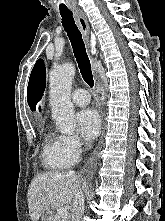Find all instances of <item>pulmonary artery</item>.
<instances>
[{"mask_svg":"<svg viewBox=\"0 0 165 221\" xmlns=\"http://www.w3.org/2000/svg\"><path fill=\"white\" fill-rule=\"evenodd\" d=\"M71 99L78 106H85L90 102V96L85 89H76L73 91Z\"/></svg>","mask_w":165,"mask_h":221,"instance_id":"1","label":"pulmonary artery"}]
</instances>
